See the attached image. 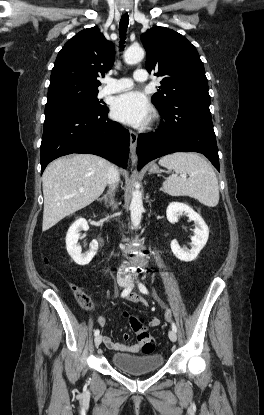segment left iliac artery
Segmentation results:
<instances>
[{
	"label": "left iliac artery",
	"mask_w": 264,
	"mask_h": 415,
	"mask_svg": "<svg viewBox=\"0 0 264 415\" xmlns=\"http://www.w3.org/2000/svg\"><path fill=\"white\" fill-rule=\"evenodd\" d=\"M138 287H139V290H140L142 293H144V294H148V290H147L146 286H145L143 283H139V284H138ZM172 330H173V331H175V332H177V327H176V325H175V323H174V322H172Z\"/></svg>",
	"instance_id": "44dca946"
}]
</instances>
